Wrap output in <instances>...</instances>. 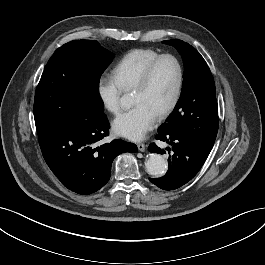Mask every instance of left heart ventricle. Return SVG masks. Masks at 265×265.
I'll list each match as a JSON object with an SVG mask.
<instances>
[{
	"instance_id": "1",
	"label": "left heart ventricle",
	"mask_w": 265,
	"mask_h": 265,
	"mask_svg": "<svg viewBox=\"0 0 265 265\" xmlns=\"http://www.w3.org/2000/svg\"><path fill=\"white\" fill-rule=\"evenodd\" d=\"M178 72L175 63L166 59L154 69L150 82L144 90L132 91V104H143L158 115L171 101Z\"/></svg>"
}]
</instances>
